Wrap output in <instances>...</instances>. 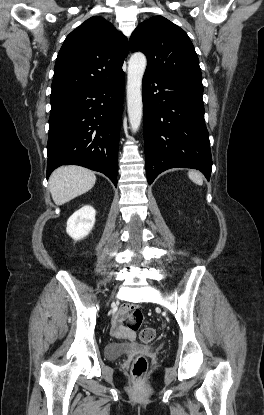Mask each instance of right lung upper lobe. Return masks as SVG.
Masks as SVG:
<instances>
[{
    "label": "right lung upper lobe",
    "instance_id": "right-lung-upper-lobe-1",
    "mask_svg": "<svg viewBox=\"0 0 264 415\" xmlns=\"http://www.w3.org/2000/svg\"><path fill=\"white\" fill-rule=\"evenodd\" d=\"M127 38L110 22L93 16L65 39L56 59L51 98L115 80L123 74Z\"/></svg>",
    "mask_w": 264,
    "mask_h": 415
}]
</instances>
